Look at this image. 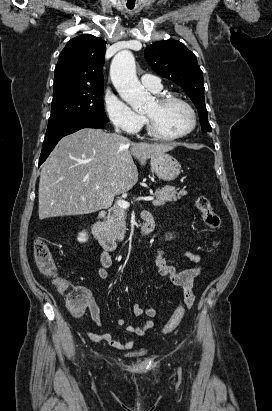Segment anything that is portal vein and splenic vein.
<instances>
[{"mask_svg": "<svg viewBox=\"0 0 272 411\" xmlns=\"http://www.w3.org/2000/svg\"><path fill=\"white\" fill-rule=\"evenodd\" d=\"M98 188H99V187L96 186V189H98ZM153 199H154V196H147V197H139V198H137L136 200H138V201H140V200L152 201ZM116 204H117V206H119V207H121V208H123V209H127V208H129V206H130V203H129V202H127V201H125V200H122V199L117 200Z\"/></svg>", "mask_w": 272, "mask_h": 411, "instance_id": "1", "label": "portal vein and splenic vein"}]
</instances>
